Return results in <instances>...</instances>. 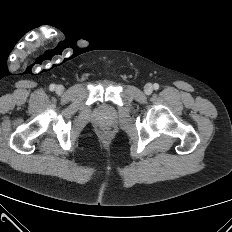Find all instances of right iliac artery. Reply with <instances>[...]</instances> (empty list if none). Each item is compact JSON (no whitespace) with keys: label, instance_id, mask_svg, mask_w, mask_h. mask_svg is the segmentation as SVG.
Wrapping results in <instances>:
<instances>
[{"label":"right iliac artery","instance_id":"82829eb1","mask_svg":"<svg viewBox=\"0 0 232 232\" xmlns=\"http://www.w3.org/2000/svg\"><path fill=\"white\" fill-rule=\"evenodd\" d=\"M49 88H50L51 91H53L55 89V85L51 84Z\"/></svg>","mask_w":232,"mask_h":232}]
</instances>
